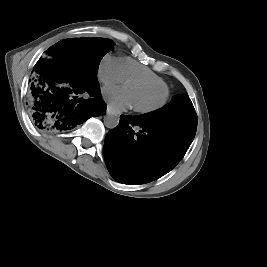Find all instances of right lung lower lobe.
Listing matches in <instances>:
<instances>
[{
  "mask_svg": "<svg viewBox=\"0 0 267 267\" xmlns=\"http://www.w3.org/2000/svg\"><path fill=\"white\" fill-rule=\"evenodd\" d=\"M34 76L28 107L39 129L68 131L105 113L99 82L80 78L62 60L54 57L39 60ZM81 94H89L91 98L83 99Z\"/></svg>",
  "mask_w": 267,
  "mask_h": 267,
  "instance_id": "right-lung-lower-lobe-1",
  "label": "right lung lower lobe"
}]
</instances>
